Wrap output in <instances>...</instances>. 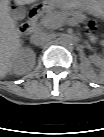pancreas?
Listing matches in <instances>:
<instances>
[{
    "instance_id": "obj_1",
    "label": "pancreas",
    "mask_w": 104,
    "mask_h": 137,
    "mask_svg": "<svg viewBox=\"0 0 104 137\" xmlns=\"http://www.w3.org/2000/svg\"><path fill=\"white\" fill-rule=\"evenodd\" d=\"M73 15V18L77 21H81L84 16L81 13H69V12H53L49 13L41 19L40 24L48 29H57L68 22V16Z\"/></svg>"
}]
</instances>
